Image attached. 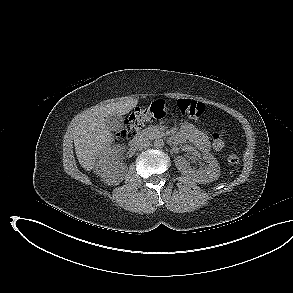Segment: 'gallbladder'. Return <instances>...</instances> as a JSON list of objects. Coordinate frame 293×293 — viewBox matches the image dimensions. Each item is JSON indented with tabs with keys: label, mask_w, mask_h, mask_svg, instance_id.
<instances>
[{
	"label": "gallbladder",
	"mask_w": 293,
	"mask_h": 293,
	"mask_svg": "<svg viewBox=\"0 0 293 293\" xmlns=\"http://www.w3.org/2000/svg\"><path fill=\"white\" fill-rule=\"evenodd\" d=\"M105 125L110 131H120L124 127V118L119 115H109L105 118Z\"/></svg>",
	"instance_id": "bac80fb5"
}]
</instances>
